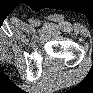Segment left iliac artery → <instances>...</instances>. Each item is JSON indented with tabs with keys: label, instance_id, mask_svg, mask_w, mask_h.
Listing matches in <instances>:
<instances>
[{
	"label": "left iliac artery",
	"instance_id": "left-iliac-artery-1",
	"mask_svg": "<svg viewBox=\"0 0 93 93\" xmlns=\"http://www.w3.org/2000/svg\"><path fill=\"white\" fill-rule=\"evenodd\" d=\"M36 24H38V25H39V24H40V21L38 20V21L36 22Z\"/></svg>",
	"mask_w": 93,
	"mask_h": 93
}]
</instances>
